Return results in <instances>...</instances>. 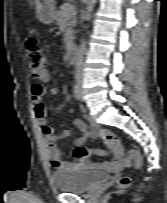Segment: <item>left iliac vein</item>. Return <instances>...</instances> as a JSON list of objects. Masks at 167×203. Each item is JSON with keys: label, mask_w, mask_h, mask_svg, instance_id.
I'll use <instances>...</instances> for the list:
<instances>
[{"label": "left iliac vein", "mask_w": 167, "mask_h": 203, "mask_svg": "<svg viewBox=\"0 0 167 203\" xmlns=\"http://www.w3.org/2000/svg\"><path fill=\"white\" fill-rule=\"evenodd\" d=\"M79 91H80V95H81V98H82L83 97V91H82L81 88L79 89Z\"/></svg>", "instance_id": "4c4485c4"}]
</instances>
